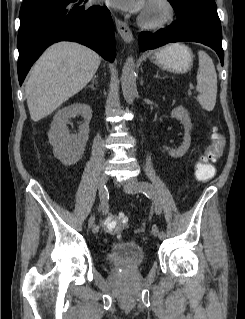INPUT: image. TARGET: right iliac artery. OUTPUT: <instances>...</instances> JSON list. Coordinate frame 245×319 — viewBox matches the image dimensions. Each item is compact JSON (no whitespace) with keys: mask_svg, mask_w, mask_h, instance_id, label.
Wrapping results in <instances>:
<instances>
[{"mask_svg":"<svg viewBox=\"0 0 245 319\" xmlns=\"http://www.w3.org/2000/svg\"><path fill=\"white\" fill-rule=\"evenodd\" d=\"M108 199H109V195L107 192V188L105 186V190H104V194L103 196L100 198L101 201V210L103 211V213H106L108 210ZM99 231V226L95 225L93 227V232L97 233Z\"/></svg>","mask_w":245,"mask_h":319,"instance_id":"82829eb1","label":"right iliac artery"}]
</instances>
